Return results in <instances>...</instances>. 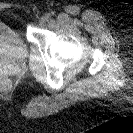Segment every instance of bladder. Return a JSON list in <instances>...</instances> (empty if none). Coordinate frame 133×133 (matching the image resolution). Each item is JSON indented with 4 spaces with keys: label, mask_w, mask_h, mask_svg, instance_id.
Listing matches in <instances>:
<instances>
[{
    "label": "bladder",
    "mask_w": 133,
    "mask_h": 133,
    "mask_svg": "<svg viewBox=\"0 0 133 133\" xmlns=\"http://www.w3.org/2000/svg\"><path fill=\"white\" fill-rule=\"evenodd\" d=\"M28 55L24 37L10 24L0 21V60L17 62Z\"/></svg>",
    "instance_id": "31cf9c89"
}]
</instances>
